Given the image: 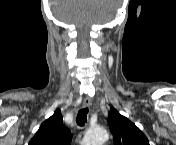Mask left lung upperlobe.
Instances as JSON below:
<instances>
[{
	"instance_id": "obj_1",
	"label": "left lung upper lobe",
	"mask_w": 176,
	"mask_h": 145,
	"mask_svg": "<svg viewBox=\"0 0 176 145\" xmlns=\"http://www.w3.org/2000/svg\"><path fill=\"white\" fill-rule=\"evenodd\" d=\"M108 123L115 145H149L144 133L114 108L110 109Z\"/></svg>"
}]
</instances>
